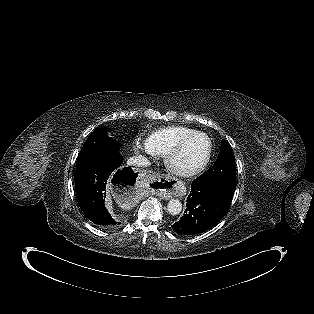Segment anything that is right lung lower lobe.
<instances>
[{"instance_id": "98d812e1", "label": "right lung lower lobe", "mask_w": 314, "mask_h": 314, "mask_svg": "<svg viewBox=\"0 0 314 314\" xmlns=\"http://www.w3.org/2000/svg\"><path fill=\"white\" fill-rule=\"evenodd\" d=\"M122 162L120 152L112 150L74 172L78 204L87 218L101 228L113 229L120 224L105 207L106 184L119 181L120 185L131 188L138 176L131 168H123Z\"/></svg>"}]
</instances>
